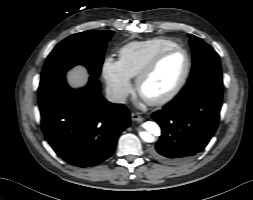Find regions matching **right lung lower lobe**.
I'll list each match as a JSON object with an SVG mask.
<instances>
[{
    "label": "right lung lower lobe",
    "mask_w": 253,
    "mask_h": 200,
    "mask_svg": "<svg viewBox=\"0 0 253 200\" xmlns=\"http://www.w3.org/2000/svg\"><path fill=\"white\" fill-rule=\"evenodd\" d=\"M42 131L57 155L78 167L95 166L109 158L130 113L101 95L99 81L86 87L68 86L65 73L42 78L38 88Z\"/></svg>",
    "instance_id": "98d812e1"
}]
</instances>
